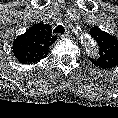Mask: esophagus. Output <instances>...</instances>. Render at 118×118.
<instances>
[{"label":"esophagus","mask_w":118,"mask_h":118,"mask_svg":"<svg viewBox=\"0 0 118 118\" xmlns=\"http://www.w3.org/2000/svg\"><path fill=\"white\" fill-rule=\"evenodd\" d=\"M58 36L61 37V38H62V37H69V36H71V33L67 32V33L64 34V35H63V34H58Z\"/></svg>","instance_id":"esophagus-1"}]
</instances>
